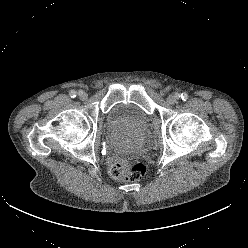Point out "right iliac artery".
I'll return each mask as SVG.
<instances>
[{"label": "right iliac artery", "mask_w": 248, "mask_h": 248, "mask_svg": "<svg viewBox=\"0 0 248 248\" xmlns=\"http://www.w3.org/2000/svg\"><path fill=\"white\" fill-rule=\"evenodd\" d=\"M69 95H70L72 98H75L76 95H77V92L74 91V90H72V91H70Z\"/></svg>", "instance_id": "obj_1"}]
</instances>
